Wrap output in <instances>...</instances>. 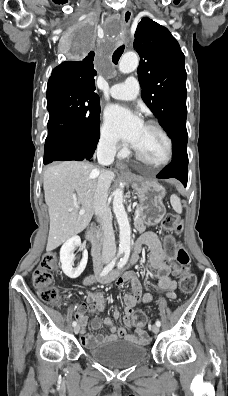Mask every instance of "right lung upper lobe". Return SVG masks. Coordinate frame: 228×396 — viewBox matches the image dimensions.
<instances>
[{
	"label": "right lung upper lobe",
	"mask_w": 228,
	"mask_h": 396,
	"mask_svg": "<svg viewBox=\"0 0 228 396\" xmlns=\"http://www.w3.org/2000/svg\"><path fill=\"white\" fill-rule=\"evenodd\" d=\"M93 60L94 52L91 51L79 61H65L53 69L49 81H69L94 91L96 70Z\"/></svg>",
	"instance_id": "right-lung-upper-lobe-1"
}]
</instances>
